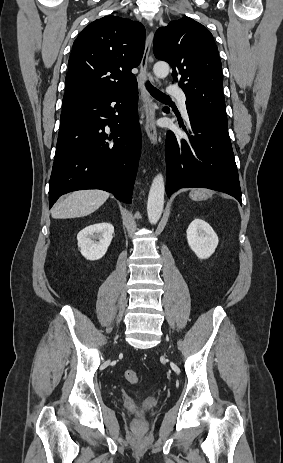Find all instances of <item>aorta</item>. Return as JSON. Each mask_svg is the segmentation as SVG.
Instances as JSON below:
<instances>
[{
  "mask_svg": "<svg viewBox=\"0 0 283 463\" xmlns=\"http://www.w3.org/2000/svg\"><path fill=\"white\" fill-rule=\"evenodd\" d=\"M153 72L157 77H166L169 73L168 63L163 61L155 63ZM164 194V178L163 175L159 173L152 181L148 196L147 213L151 224H156L161 217L164 208Z\"/></svg>",
  "mask_w": 283,
  "mask_h": 463,
  "instance_id": "obj_1",
  "label": "aorta"
}]
</instances>
